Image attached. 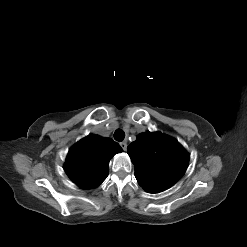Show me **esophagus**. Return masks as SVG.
Segmentation results:
<instances>
[{"label":"esophagus","instance_id":"esophagus-1","mask_svg":"<svg viewBox=\"0 0 247 247\" xmlns=\"http://www.w3.org/2000/svg\"><path fill=\"white\" fill-rule=\"evenodd\" d=\"M120 146H121V148H122L124 151H126V149H127V143H126V142H121V143H120Z\"/></svg>","mask_w":247,"mask_h":247}]
</instances>
